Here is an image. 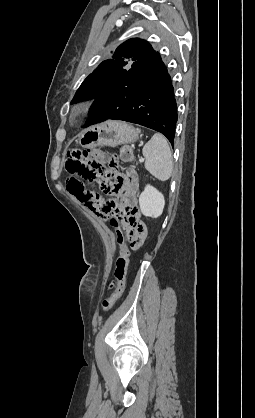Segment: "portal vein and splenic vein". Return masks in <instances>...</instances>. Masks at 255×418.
<instances>
[{
	"label": "portal vein and splenic vein",
	"instance_id": "obj_1",
	"mask_svg": "<svg viewBox=\"0 0 255 418\" xmlns=\"http://www.w3.org/2000/svg\"><path fill=\"white\" fill-rule=\"evenodd\" d=\"M139 162H140V163L144 162V159H143V158H140V159H139Z\"/></svg>",
	"mask_w": 255,
	"mask_h": 418
}]
</instances>
